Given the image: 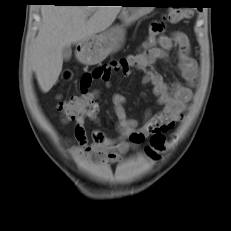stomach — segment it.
<instances>
[{"instance_id": "obj_1", "label": "stomach", "mask_w": 231, "mask_h": 231, "mask_svg": "<svg viewBox=\"0 0 231 231\" xmlns=\"http://www.w3.org/2000/svg\"><path fill=\"white\" fill-rule=\"evenodd\" d=\"M130 4H151L148 0H130ZM154 7H141L132 5L124 7L121 12L123 25L115 26L106 31L93 35L82 41L79 51H77L78 59L89 65H94L103 61L109 54L116 52L121 48L125 37V26L137 21L142 16L150 13Z\"/></svg>"}]
</instances>
